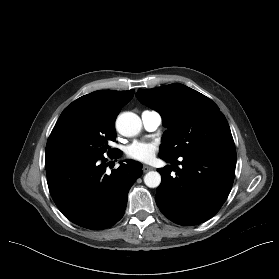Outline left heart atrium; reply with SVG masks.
Masks as SVG:
<instances>
[{"instance_id": "39dd6f15", "label": "left heart atrium", "mask_w": 279, "mask_h": 279, "mask_svg": "<svg viewBox=\"0 0 279 279\" xmlns=\"http://www.w3.org/2000/svg\"><path fill=\"white\" fill-rule=\"evenodd\" d=\"M157 150V146L150 142H134L126 149V154L129 158L140 161L150 162Z\"/></svg>"}]
</instances>
